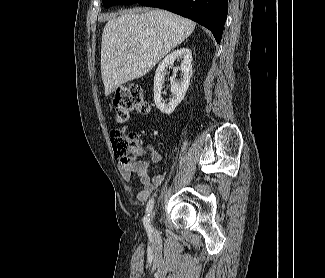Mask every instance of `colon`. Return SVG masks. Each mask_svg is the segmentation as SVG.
<instances>
[{"label":"colon","mask_w":325,"mask_h":278,"mask_svg":"<svg viewBox=\"0 0 325 278\" xmlns=\"http://www.w3.org/2000/svg\"><path fill=\"white\" fill-rule=\"evenodd\" d=\"M112 108L117 123H124L132 112L147 113L149 102L144 98L139 86H124L118 88L112 95ZM113 150L121 157L125 166H131L135 158L140 156L145 147L135 132L125 134L119 128L111 130Z\"/></svg>","instance_id":"obj_1"}]
</instances>
